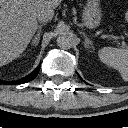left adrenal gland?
<instances>
[{"label":"left adrenal gland","mask_w":128,"mask_h":128,"mask_svg":"<svg viewBox=\"0 0 128 128\" xmlns=\"http://www.w3.org/2000/svg\"><path fill=\"white\" fill-rule=\"evenodd\" d=\"M80 34L84 37V45L86 48H93L92 41L87 37V35L84 32H80Z\"/></svg>","instance_id":"a2214340"}]
</instances>
